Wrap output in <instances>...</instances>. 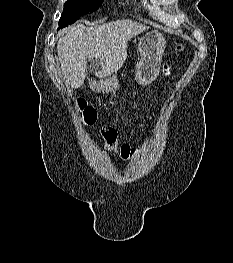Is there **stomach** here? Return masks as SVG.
<instances>
[{
	"mask_svg": "<svg viewBox=\"0 0 233 263\" xmlns=\"http://www.w3.org/2000/svg\"><path fill=\"white\" fill-rule=\"evenodd\" d=\"M165 47L166 40L158 31L148 32L139 40L141 59L136 69L139 84L148 85L157 78ZM138 83H127L126 80L106 77L104 81L93 82L92 88L98 92L123 91L127 88H138Z\"/></svg>",
	"mask_w": 233,
	"mask_h": 263,
	"instance_id": "0dacf381",
	"label": "stomach"
}]
</instances>
